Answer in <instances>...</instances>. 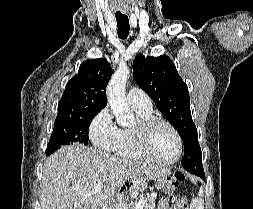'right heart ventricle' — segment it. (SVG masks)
Masks as SVG:
<instances>
[{"mask_svg":"<svg viewBox=\"0 0 253 209\" xmlns=\"http://www.w3.org/2000/svg\"><path fill=\"white\" fill-rule=\"evenodd\" d=\"M133 109L140 118L152 116V107H144L136 104H132ZM117 155L132 159V160H144L145 158L140 154L133 127L124 128L121 130V138L117 147L114 149Z\"/></svg>","mask_w":253,"mask_h":209,"instance_id":"obj_1","label":"right heart ventricle"}]
</instances>
